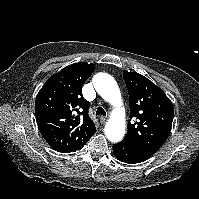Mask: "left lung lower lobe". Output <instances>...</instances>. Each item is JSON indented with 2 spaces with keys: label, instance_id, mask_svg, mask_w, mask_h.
Instances as JSON below:
<instances>
[{
  "label": "left lung lower lobe",
  "instance_id": "1",
  "mask_svg": "<svg viewBox=\"0 0 199 199\" xmlns=\"http://www.w3.org/2000/svg\"><path fill=\"white\" fill-rule=\"evenodd\" d=\"M113 152L118 160L128 164L141 163L151 157L125 141L113 144Z\"/></svg>",
  "mask_w": 199,
  "mask_h": 199
}]
</instances>
